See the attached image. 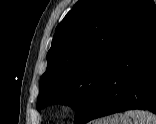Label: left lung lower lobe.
I'll use <instances>...</instances> for the list:
<instances>
[{
  "mask_svg": "<svg viewBox=\"0 0 156 124\" xmlns=\"http://www.w3.org/2000/svg\"><path fill=\"white\" fill-rule=\"evenodd\" d=\"M131 109L156 114V14L116 61L79 124Z\"/></svg>",
  "mask_w": 156,
  "mask_h": 124,
  "instance_id": "0a47b994",
  "label": "left lung lower lobe"
}]
</instances>
